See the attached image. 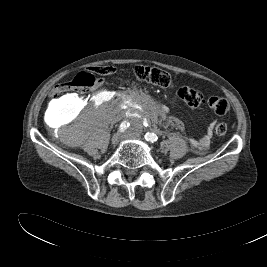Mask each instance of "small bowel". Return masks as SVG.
<instances>
[{
    "label": "small bowel",
    "mask_w": 267,
    "mask_h": 267,
    "mask_svg": "<svg viewBox=\"0 0 267 267\" xmlns=\"http://www.w3.org/2000/svg\"><path fill=\"white\" fill-rule=\"evenodd\" d=\"M213 127H214V123L211 122L207 127L206 134L200 139H194L192 141L193 146H195L199 150L207 149L210 144V139L213 134Z\"/></svg>",
    "instance_id": "obj_1"
}]
</instances>
